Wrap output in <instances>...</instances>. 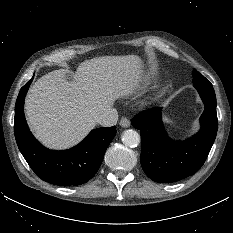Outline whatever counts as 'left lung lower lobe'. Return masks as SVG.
I'll use <instances>...</instances> for the list:
<instances>
[{"label": "left lung lower lobe", "instance_id": "obj_1", "mask_svg": "<svg viewBox=\"0 0 233 233\" xmlns=\"http://www.w3.org/2000/svg\"><path fill=\"white\" fill-rule=\"evenodd\" d=\"M204 103L201 129L185 141L170 139L161 122V108L135 116L132 125L141 132V165L155 182L172 183L196 173L204 164L214 143L218 120L212 84H194Z\"/></svg>", "mask_w": 233, "mask_h": 233}]
</instances>
